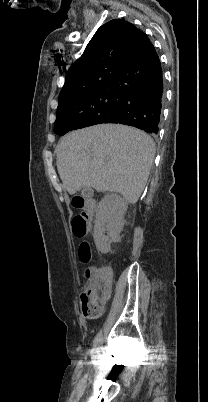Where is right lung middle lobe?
Listing matches in <instances>:
<instances>
[{"mask_svg": "<svg viewBox=\"0 0 208 402\" xmlns=\"http://www.w3.org/2000/svg\"><path fill=\"white\" fill-rule=\"evenodd\" d=\"M114 82L102 81L59 96L54 132L62 121L85 119L108 113L117 106Z\"/></svg>", "mask_w": 208, "mask_h": 402, "instance_id": "dd1d6c3e", "label": "right lung middle lobe"}]
</instances>
